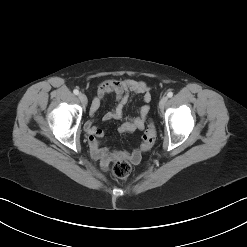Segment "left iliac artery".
I'll list each match as a JSON object with an SVG mask.
<instances>
[{"mask_svg": "<svg viewBox=\"0 0 247 247\" xmlns=\"http://www.w3.org/2000/svg\"><path fill=\"white\" fill-rule=\"evenodd\" d=\"M167 96H168L169 98H171V97L173 96V93H172V92H168Z\"/></svg>", "mask_w": 247, "mask_h": 247, "instance_id": "obj_1", "label": "left iliac artery"}]
</instances>
